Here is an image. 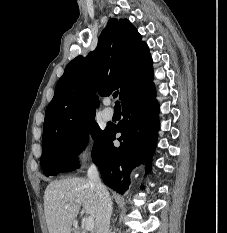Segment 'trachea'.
<instances>
[{"label": "trachea", "instance_id": "1", "mask_svg": "<svg viewBox=\"0 0 227 233\" xmlns=\"http://www.w3.org/2000/svg\"><path fill=\"white\" fill-rule=\"evenodd\" d=\"M117 96H118V91L114 92V94H113L114 98H117ZM116 105H119V102H116Z\"/></svg>", "mask_w": 227, "mask_h": 233}]
</instances>
